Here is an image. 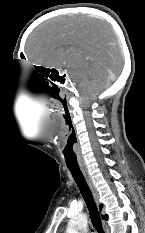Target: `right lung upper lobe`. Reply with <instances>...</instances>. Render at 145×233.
<instances>
[{
  "instance_id": "right-lung-upper-lobe-1",
  "label": "right lung upper lobe",
  "mask_w": 145,
  "mask_h": 233,
  "mask_svg": "<svg viewBox=\"0 0 145 233\" xmlns=\"http://www.w3.org/2000/svg\"><path fill=\"white\" fill-rule=\"evenodd\" d=\"M100 207H102V205ZM103 219L107 220V215L103 216Z\"/></svg>"
}]
</instances>
